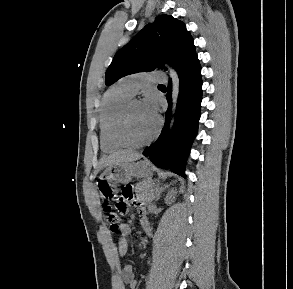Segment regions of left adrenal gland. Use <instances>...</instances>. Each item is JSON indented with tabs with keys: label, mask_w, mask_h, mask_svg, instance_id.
<instances>
[{
	"label": "left adrenal gland",
	"mask_w": 293,
	"mask_h": 289,
	"mask_svg": "<svg viewBox=\"0 0 293 289\" xmlns=\"http://www.w3.org/2000/svg\"><path fill=\"white\" fill-rule=\"evenodd\" d=\"M169 185H165L164 187H156V200H158L160 198V195L162 193V191L167 188Z\"/></svg>",
	"instance_id": "obj_1"
}]
</instances>
